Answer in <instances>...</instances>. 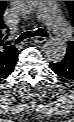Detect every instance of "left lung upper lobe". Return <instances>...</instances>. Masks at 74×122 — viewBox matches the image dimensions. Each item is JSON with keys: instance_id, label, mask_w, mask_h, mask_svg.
<instances>
[{"instance_id": "5c2ea615", "label": "left lung upper lobe", "mask_w": 74, "mask_h": 122, "mask_svg": "<svg viewBox=\"0 0 74 122\" xmlns=\"http://www.w3.org/2000/svg\"><path fill=\"white\" fill-rule=\"evenodd\" d=\"M67 5L72 16V25L74 26V1H67ZM69 47L74 49V41L70 42Z\"/></svg>"}]
</instances>
